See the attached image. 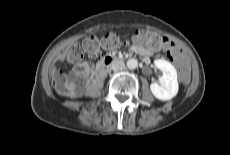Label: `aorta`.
Masks as SVG:
<instances>
[{
	"label": "aorta",
	"instance_id": "aorta-1",
	"mask_svg": "<svg viewBox=\"0 0 230 155\" xmlns=\"http://www.w3.org/2000/svg\"><path fill=\"white\" fill-rule=\"evenodd\" d=\"M127 67L129 69H136L138 67V61L136 59H129L127 61Z\"/></svg>",
	"mask_w": 230,
	"mask_h": 155
}]
</instances>
